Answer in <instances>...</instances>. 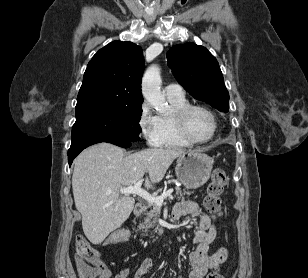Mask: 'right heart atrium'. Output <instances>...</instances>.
<instances>
[{
	"label": "right heart atrium",
	"mask_w": 308,
	"mask_h": 278,
	"mask_svg": "<svg viewBox=\"0 0 308 278\" xmlns=\"http://www.w3.org/2000/svg\"><path fill=\"white\" fill-rule=\"evenodd\" d=\"M137 124L142 137L149 146L157 147L160 145L161 132L159 120L152 113L147 103H143L140 107Z\"/></svg>",
	"instance_id": "obj_1"
}]
</instances>
